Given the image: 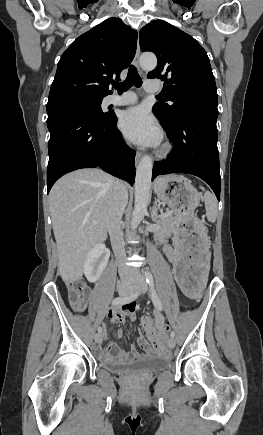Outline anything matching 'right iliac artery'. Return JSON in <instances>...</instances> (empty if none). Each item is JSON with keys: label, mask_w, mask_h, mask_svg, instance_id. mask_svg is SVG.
I'll return each mask as SVG.
<instances>
[{"label": "right iliac artery", "mask_w": 263, "mask_h": 435, "mask_svg": "<svg viewBox=\"0 0 263 435\" xmlns=\"http://www.w3.org/2000/svg\"><path fill=\"white\" fill-rule=\"evenodd\" d=\"M139 293H134L128 297H117L112 301L113 305H118V304H126L128 302H132L134 301L137 297H138ZM98 332L101 333L102 332V328L98 327Z\"/></svg>", "instance_id": "obj_1"}]
</instances>
